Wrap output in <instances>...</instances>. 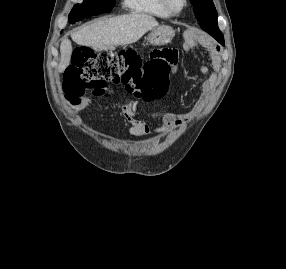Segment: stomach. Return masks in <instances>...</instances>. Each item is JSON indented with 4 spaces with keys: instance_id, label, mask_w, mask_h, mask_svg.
<instances>
[{
    "instance_id": "obj_1",
    "label": "stomach",
    "mask_w": 286,
    "mask_h": 269,
    "mask_svg": "<svg viewBox=\"0 0 286 269\" xmlns=\"http://www.w3.org/2000/svg\"><path fill=\"white\" fill-rule=\"evenodd\" d=\"M174 37L172 27L167 25L154 27L148 35V42L155 46L165 45L169 43Z\"/></svg>"
}]
</instances>
